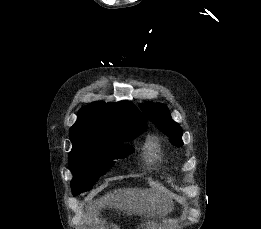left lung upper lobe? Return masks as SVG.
I'll use <instances>...</instances> for the list:
<instances>
[{"mask_svg":"<svg viewBox=\"0 0 261 229\" xmlns=\"http://www.w3.org/2000/svg\"><path fill=\"white\" fill-rule=\"evenodd\" d=\"M149 120H152L156 127L169 137L170 142L177 147L183 145L181 140L182 128L170 115L166 105L161 103L145 102L139 105Z\"/></svg>","mask_w":261,"mask_h":229,"instance_id":"1","label":"left lung upper lobe"}]
</instances>
